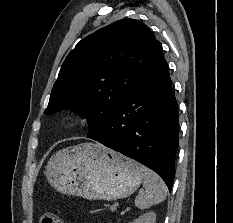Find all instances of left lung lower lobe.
Instances as JSON below:
<instances>
[{"label": "left lung lower lobe", "mask_w": 233, "mask_h": 223, "mask_svg": "<svg viewBox=\"0 0 233 223\" xmlns=\"http://www.w3.org/2000/svg\"><path fill=\"white\" fill-rule=\"evenodd\" d=\"M162 46L127 101L90 137L161 176L169 191L179 145L178 106Z\"/></svg>", "instance_id": "1"}]
</instances>
